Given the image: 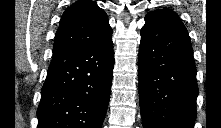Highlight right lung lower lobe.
I'll return each instance as SVG.
<instances>
[{
	"mask_svg": "<svg viewBox=\"0 0 221 128\" xmlns=\"http://www.w3.org/2000/svg\"><path fill=\"white\" fill-rule=\"evenodd\" d=\"M113 65L112 38L97 47L53 52L37 110L38 128H101Z\"/></svg>",
	"mask_w": 221,
	"mask_h": 128,
	"instance_id": "right-lung-lower-lobe-1",
	"label": "right lung lower lobe"
}]
</instances>
